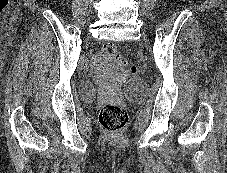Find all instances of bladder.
<instances>
[{
	"mask_svg": "<svg viewBox=\"0 0 227 173\" xmlns=\"http://www.w3.org/2000/svg\"><path fill=\"white\" fill-rule=\"evenodd\" d=\"M144 93L143 82L137 78H129L123 85V94L129 100L135 101L140 99ZM96 94V88L84 83L80 88V95L85 101H90Z\"/></svg>",
	"mask_w": 227,
	"mask_h": 173,
	"instance_id": "31cf9c89",
	"label": "bladder"
}]
</instances>
